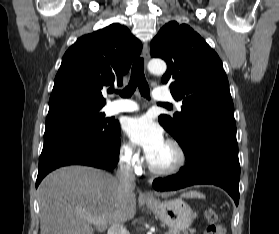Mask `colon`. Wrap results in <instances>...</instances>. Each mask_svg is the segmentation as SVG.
<instances>
[{
    "label": "colon",
    "instance_id": "5ec220e1",
    "mask_svg": "<svg viewBox=\"0 0 279 234\" xmlns=\"http://www.w3.org/2000/svg\"><path fill=\"white\" fill-rule=\"evenodd\" d=\"M208 220L209 224L205 230V234H221L222 228L218 223V216L213 212H209Z\"/></svg>",
    "mask_w": 279,
    "mask_h": 234
}]
</instances>
